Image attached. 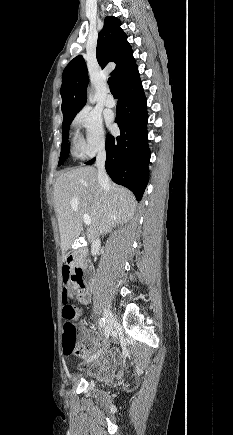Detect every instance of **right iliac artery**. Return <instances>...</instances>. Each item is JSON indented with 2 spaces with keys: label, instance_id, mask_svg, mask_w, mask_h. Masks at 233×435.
Here are the masks:
<instances>
[{
  "label": "right iliac artery",
  "instance_id": "right-iliac-artery-1",
  "mask_svg": "<svg viewBox=\"0 0 233 435\" xmlns=\"http://www.w3.org/2000/svg\"><path fill=\"white\" fill-rule=\"evenodd\" d=\"M99 325H100L102 328L105 326V319H104V318H101V319L99 320Z\"/></svg>",
  "mask_w": 233,
  "mask_h": 435
}]
</instances>
